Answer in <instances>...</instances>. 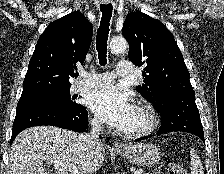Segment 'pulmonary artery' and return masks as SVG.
<instances>
[{
    "label": "pulmonary artery",
    "instance_id": "obj_1",
    "mask_svg": "<svg viewBox=\"0 0 224 174\" xmlns=\"http://www.w3.org/2000/svg\"><path fill=\"white\" fill-rule=\"evenodd\" d=\"M136 73L135 67L131 62L121 61L118 63L116 68V73H90L86 71H81V79L75 83L74 90L81 91L92 88H101L108 86L113 83L116 76L119 77H130Z\"/></svg>",
    "mask_w": 224,
    "mask_h": 174
}]
</instances>
